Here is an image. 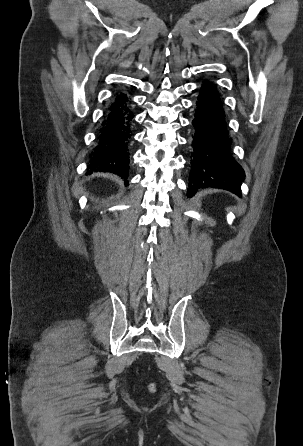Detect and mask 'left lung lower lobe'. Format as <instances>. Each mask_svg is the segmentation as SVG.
Returning <instances> with one entry per match:
<instances>
[{
	"mask_svg": "<svg viewBox=\"0 0 303 446\" xmlns=\"http://www.w3.org/2000/svg\"><path fill=\"white\" fill-rule=\"evenodd\" d=\"M193 150L188 197L198 189L222 188L241 196L242 167L230 153L231 138L225 124L221 99L209 82H204L196 102Z\"/></svg>",
	"mask_w": 303,
	"mask_h": 446,
	"instance_id": "1",
	"label": "left lung lower lobe"
}]
</instances>
